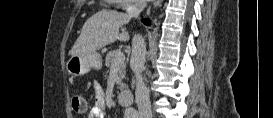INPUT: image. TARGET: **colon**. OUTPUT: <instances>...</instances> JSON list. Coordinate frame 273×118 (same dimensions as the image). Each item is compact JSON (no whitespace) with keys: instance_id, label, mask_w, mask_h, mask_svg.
Wrapping results in <instances>:
<instances>
[{"instance_id":"5ec220e1","label":"colon","mask_w":273,"mask_h":118,"mask_svg":"<svg viewBox=\"0 0 273 118\" xmlns=\"http://www.w3.org/2000/svg\"><path fill=\"white\" fill-rule=\"evenodd\" d=\"M72 109L78 114H83L87 110L85 99L81 95H74L71 100Z\"/></svg>"}]
</instances>
